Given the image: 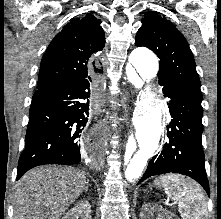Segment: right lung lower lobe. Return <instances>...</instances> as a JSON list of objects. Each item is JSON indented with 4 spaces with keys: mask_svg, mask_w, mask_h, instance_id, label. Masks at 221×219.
<instances>
[{
    "mask_svg": "<svg viewBox=\"0 0 221 219\" xmlns=\"http://www.w3.org/2000/svg\"><path fill=\"white\" fill-rule=\"evenodd\" d=\"M93 96L92 76L34 93L16 180L39 165H72L81 161V133Z\"/></svg>",
    "mask_w": 221,
    "mask_h": 219,
    "instance_id": "obj_1",
    "label": "right lung lower lobe"
}]
</instances>
